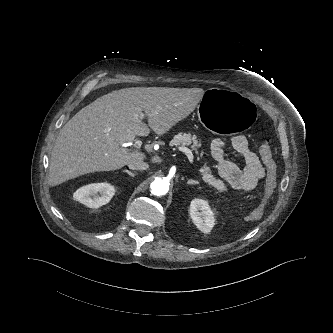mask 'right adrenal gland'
Masks as SVG:
<instances>
[{"label":"right adrenal gland","instance_id":"obj_1","mask_svg":"<svg viewBox=\"0 0 333 333\" xmlns=\"http://www.w3.org/2000/svg\"><path fill=\"white\" fill-rule=\"evenodd\" d=\"M123 172L127 173V174L130 175L131 177H134V176H135V174L132 173V172L129 171V170H123Z\"/></svg>","mask_w":333,"mask_h":333}]
</instances>
